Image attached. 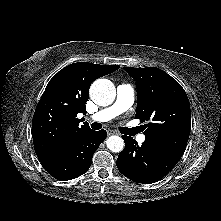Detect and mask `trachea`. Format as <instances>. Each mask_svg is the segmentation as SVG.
<instances>
[{
	"instance_id": "1",
	"label": "trachea",
	"mask_w": 221,
	"mask_h": 221,
	"mask_svg": "<svg viewBox=\"0 0 221 221\" xmlns=\"http://www.w3.org/2000/svg\"><path fill=\"white\" fill-rule=\"evenodd\" d=\"M91 127H92V129H94V130H99V129H101L102 125H101L100 123L95 122V123H92ZM129 131H130L132 134H134L137 130H136V129H130Z\"/></svg>"
}]
</instances>
